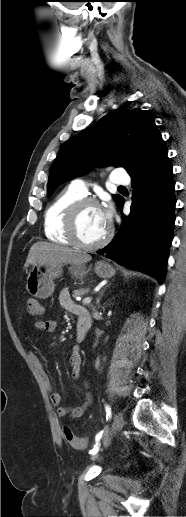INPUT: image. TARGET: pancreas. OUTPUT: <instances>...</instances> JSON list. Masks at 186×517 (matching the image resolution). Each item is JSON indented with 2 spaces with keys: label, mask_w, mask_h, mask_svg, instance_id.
<instances>
[{
  "label": "pancreas",
  "mask_w": 186,
  "mask_h": 517,
  "mask_svg": "<svg viewBox=\"0 0 186 517\" xmlns=\"http://www.w3.org/2000/svg\"><path fill=\"white\" fill-rule=\"evenodd\" d=\"M89 292V288H80V289H76L73 291V297L76 298L78 296H82V295H85L86 293Z\"/></svg>",
  "instance_id": "pancreas-1"
}]
</instances>
